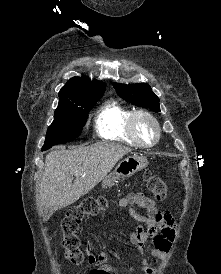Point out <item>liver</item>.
<instances>
[{
	"mask_svg": "<svg viewBox=\"0 0 221 274\" xmlns=\"http://www.w3.org/2000/svg\"><path fill=\"white\" fill-rule=\"evenodd\" d=\"M132 150L100 142L72 150H55L45 159L36 203L38 208L58 210L89 193L115 164ZM73 177L75 180L72 184Z\"/></svg>",
	"mask_w": 221,
	"mask_h": 274,
	"instance_id": "liver-1",
	"label": "liver"
}]
</instances>
